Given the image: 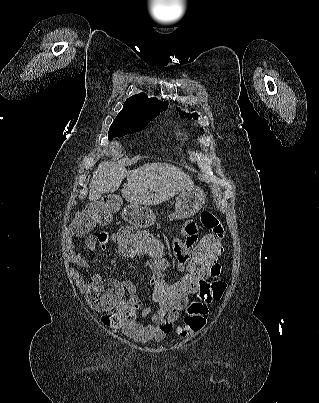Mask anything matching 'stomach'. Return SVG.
Returning a JSON list of instances; mask_svg holds the SVG:
<instances>
[{"instance_id":"stomach-1","label":"stomach","mask_w":319,"mask_h":403,"mask_svg":"<svg viewBox=\"0 0 319 403\" xmlns=\"http://www.w3.org/2000/svg\"><path fill=\"white\" fill-rule=\"evenodd\" d=\"M206 195L199 187L193 186L181 191L176 199L172 219L189 218L196 214L205 204ZM127 223L142 228H155L156 220L151 211L138 206H130L125 212ZM147 230V229H146Z\"/></svg>"}]
</instances>
